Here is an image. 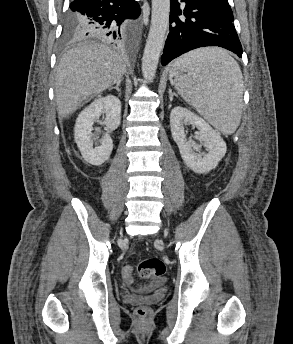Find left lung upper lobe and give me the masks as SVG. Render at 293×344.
<instances>
[{"instance_id":"5c2ea615","label":"left lung upper lobe","mask_w":293,"mask_h":344,"mask_svg":"<svg viewBox=\"0 0 293 344\" xmlns=\"http://www.w3.org/2000/svg\"><path fill=\"white\" fill-rule=\"evenodd\" d=\"M221 1H223L225 4H227L229 6L228 0H221Z\"/></svg>"}]
</instances>
